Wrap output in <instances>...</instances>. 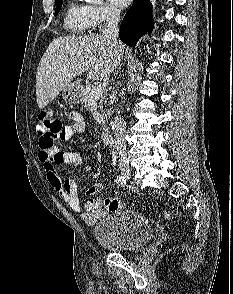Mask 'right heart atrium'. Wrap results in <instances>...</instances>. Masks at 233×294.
I'll use <instances>...</instances> for the list:
<instances>
[{
  "label": "right heart atrium",
  "mask_w": 233,
  "mask_h": 294,
  "mask_svg": "<svg viewBox=\"0 0 233 294\" xmlns=\"http://www.w3.org/2000/svg\"><path fill=\"white\" fill-rule=\"evenodd\" d=\"M86 9L91 19V28L94 29L115 21L119 16V10L112 4H88Z\"/></svg>",
  "instance_id": "d8ad5b80"
}]
</instances>
